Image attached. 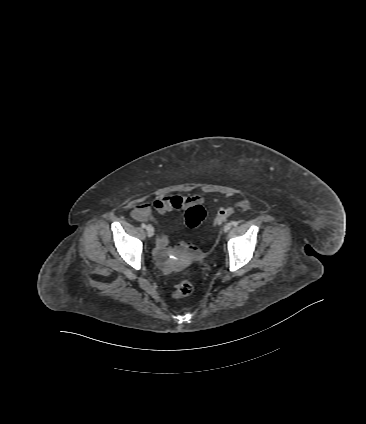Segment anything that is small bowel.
<instances>
[{"mask_svg": "<svg viewBox=\"0 0 366 424\" xmlns=\"http://www.w3.org/2000/svg\"><path fill=\"white\" fill-rule=\"evenodd\" d=\"M202 201L201 196L199 195H158L154 198L152 206L155 211L159 214H165L166 212L179 209H188L189 207L199 204ZM132 216L137 221H152L158 225L157 220L153 216L151 205L147 202L139 203L132 212ZM157 249L156 257L158 262L166 267L167 266V256L170 253L168 247L169 239L168 236L159 228L157 231ZM184 242H179L174 250L176 252H181L184 249Z\"/></svg>", "mask_w": 366, "mask_h": 424, "instance_id": "obj_1", "label": "small bowel"}]
</instances>
